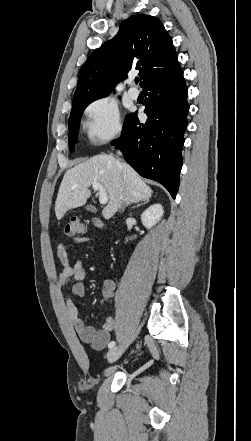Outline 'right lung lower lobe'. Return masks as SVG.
<instances>
[{"instance_id":"98d812e1","label":"right lung lower lobe","mask_w":251,"mask_h":441,"mask_svg":"<svg viewBox=\"0 0 251 441\" xmlns=\"http://www.w3.org/2000/svg\"><path fill=\"white\" fill-rule=\"evenodd\" d=\"M143 90L149 97L144 103L146 123H140L135 114L129 115L121 138L112 144L141 176L160 182L175 199L189 111L180 65L149 81Z\"/></svg>"}]
</instances>
